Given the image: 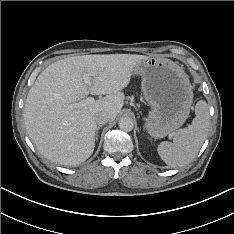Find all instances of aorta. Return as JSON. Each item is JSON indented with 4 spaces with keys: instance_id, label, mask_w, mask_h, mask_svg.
I'll list each match as a JSON object with an SVG mask.
<instances>
[{
    "instance_id": "obj_1",
    "label": "aorta",
    "mask_w": 234,
    "mask_h": 234,
    "mask_svg": "<svg viewBox=\"0 0 234 234\" xmlns=\"http://www.w3.org/2000/svg\"><path fill=\"white\" fill-rule=\"evenodd\" d=\"M118 125L122 131L126 132L132 131V129L134 128V122L130 117H122L119 120Z\"/></svg>"
}]
</instances>
